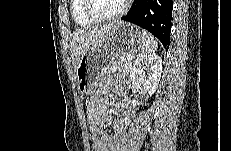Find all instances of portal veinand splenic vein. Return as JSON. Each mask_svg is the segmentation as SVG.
I'll return each mask as SVG.
<instances>
[{"mask_svg": "<svg viewBox=\"0 0 231 151\" xmlns=\"http://www.w3.org/2000/svg\"><path fill=\"white\" fill-rule=\"evenodd\" d=\"M126 59L127 60H132V57L131 56H126Z\"/></svg>", "mask_w": 231, "mask_h": 151, "instance_id": "portal-vein-and-splenic-vein-1", "label": "portal vein and splenic vein"}]
</instances>
